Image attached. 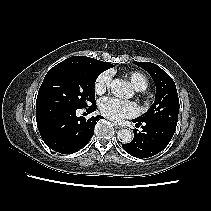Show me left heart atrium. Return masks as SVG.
<instances>
[{"mask_svg":"<svg viewBox=\"0 0 211 211\" xmlns=\"http://www.w3.org/2000/svg\"><path fill=\"white\" fill-rule=\"evenodd\" d=\"M100 113L113 121H121L137 115L138 107L132 101L120 100L113 97H106L99 102Z\"/></svg>","mask_w":211,"mask_h":211,"instance_id":"left-heart-atrium-1","label":"left heart atrium"}]
</instances>
